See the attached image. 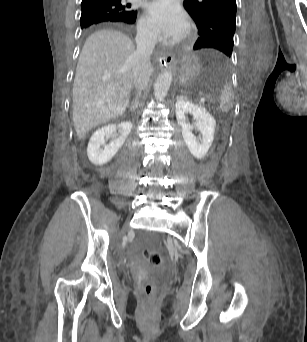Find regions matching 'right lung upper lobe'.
<instances>
[{"instance_id":"right-lung-upper-lobe-1","label":"right lung upper lobe","mask_w":307,"mask_h":342,"mask_svg":"<svg viewBox=\"0 0 307 342\" xmlns=\"http://www.w3.org/2000/svg\"><path fill=\"white\" fill-rule=\"evenodd\" d=\"M131 4L127 3L125 0H82L81 8L86 9H111L118 12V16L111 20L101 21L95 24L86 26L83 31L89 30L94 25L100 23H116L122 26H130L136 20L137 11L130 9Z\"/></svg>"}]
</instances>
